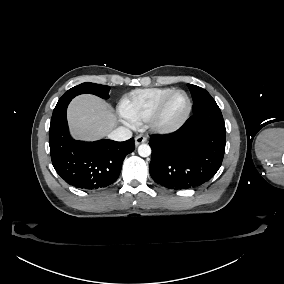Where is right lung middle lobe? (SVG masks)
Here are the masks:
<instances>
[{"label":"right lung middle lobe","mask_w":284,"mask_h":284,"mask_svg":"<svg viewBox=\"0 0 284 284\" xmlns=\"http://www.w3.org/2000/svg\"><path fill=\"white\" fill-rule=\"evenodd\" d=\"M109 90L110 87L106 85H100L95 83H82L80 85H77L71 89H69L65 94L59 99L58 102L65 101V100H71L75 96L83 94V93H90L97 95L103 99L109 98Z\"/></svg>","instance_id":"dd1d6c3e"}]
</instances>
